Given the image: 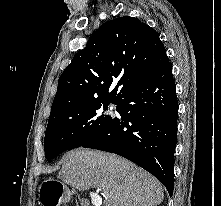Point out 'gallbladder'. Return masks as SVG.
Masks as SVG:
<instances>
[{"instance_id": "gallbladder-1", "label": "gallbladder", "mask_w": 221, "mask_h": 206, "mask_svg": "<svg viewBox=\"0 0 221 206\" xmlns=\"http://www.w3.org/2000/svg\"><path fill=\"white\" fill-rule=\"evenodd\" d=\"M87 198H92V206H101L97 202H105V197H100V193H87Z\"/></svg>"}]
</instances>
